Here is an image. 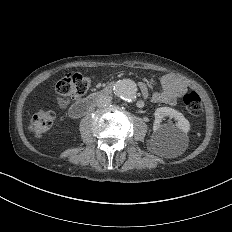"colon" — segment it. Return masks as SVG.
<instances>
[{
  "mask_svg": "<svg viewBox=\"0 0 232 232\" xmlns=\"http://www.w3.org/2000/svg\"><path fill=\"white\" fill-rule=\"evenodd\" d=\"M63 80H59L55 84V89L59 93H78L84 94L88 89H95V84H89L93 82V77H84L78 70H73L65 77H61ZM202 98L200 95L193 92L184 94L182 107L187 112V117H200ZM51 112H45V108H40V112H37V116H30L32 125L30 131H33L36 137H43L44 131H51L52 120Z\"/></svg>",
  "mask_w": 232,
  "mask_h": 232,
  "instance_id": "colon-1",
  "label": "colon"
}]
</instances>
